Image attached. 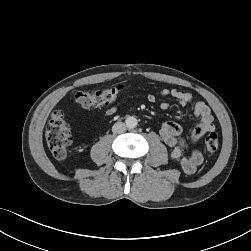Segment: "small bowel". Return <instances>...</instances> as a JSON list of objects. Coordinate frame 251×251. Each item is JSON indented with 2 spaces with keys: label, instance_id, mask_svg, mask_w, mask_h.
Wrapping results in <instances>:
<instances>
[{
  "label": "small bowel",
  "instance_id": "obj_1",
  "mask_svg": "<svg viewBox=\"0 0 251 251\" xmlns=\"http://www.w3.org/2000/svg\"><path fill=\"white\" fill-rule=\"evenodd\" d=\"M159 97H172L180 105L194 103L195 101L191 92H184L178 89H163L158 94L153 92L147 94V100L150 103L157 102ZM169 107L170 104L167 101L160 103V108L163 111L168 110ZM116 111L117 107L112 106L104 111V116H111ZM194 115L200 119V122L193 128L190 140L192 143H197L205 133L214 131L215 126L211 110L204 102L197 101L194 103ZM181 132V127L175 122H165L159 129L161 138L169 148L170 159L178 164L185 173L194 174L203 162V154L199 150H194L189 156H186L184 153V142L180 138Z\"/></svg>",
  "mask_w": 251,
  "mask_h": 251
}]
</instances>
